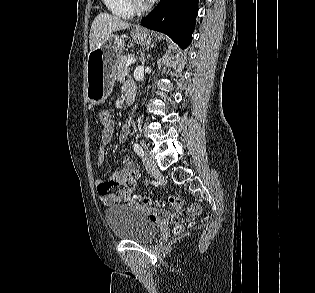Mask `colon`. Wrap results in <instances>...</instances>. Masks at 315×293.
<instances>
[{
    "mask_svg": "<svg viewBox=\"0 0 315 293\" xmlns=\"http://www.w3.org/2000/svg\"><path fill=\"white\" fill-rule=\"evenodd\" d=\"M110 114L106 110H101L98 113V120L101 126H105L109 121ZM131 202L136 203L140 202L145 205H157L162 206L164 203L162 201L153 200L149 197H142L138 195H133L131 197ZM169 205L178 212L177 220L179 224L175 228L176 233L182 232L186 227H189L193 224L192 218L198 212V208L196 206H191L187 209H182L181 200L176 196L169 197Z\"/></svg>",
    "mask_w": 315,
    "mask_h": 293,
    "instance_id": "obj_1",
    "label": "colon"
}]
</instances>
